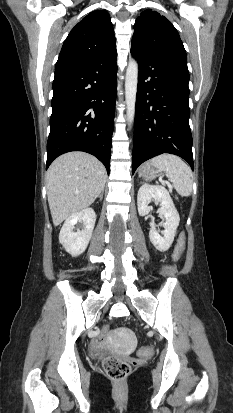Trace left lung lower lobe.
<instances>
[{
  "instance_id": "0a47b994",
  "label": "left lung lower lobe",
  "mask_w": 233,
  "mask_h": 413,
  "mask_svg": "<svg viewBox=\"0 0 233 413\" xmlns=\"http://www.w3.org/2000/svg\"><path fill=\"white\" fill-rule=\"evenodd\" d=\"M140 64L132 174L162 153L185 159L194 170L189 126V72L161 57L131 47Z\"/></svg>"
}]
</instances>
